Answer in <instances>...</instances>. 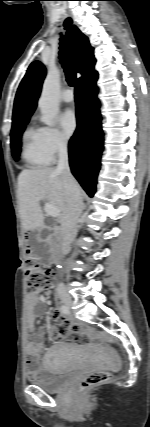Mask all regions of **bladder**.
Instances as JSON below:
<instances>
[{"label":"bladder","mask_w":150,"mask_h":427,"mask_svg":"<svg viewBox=\"0 0 150 427\" xmlns=\"http://www.w3.org/2000/svg\"><path fill=\"white\" fill-rule=\"evenodd\" d=\"M44 371V377L41 380L34 381V385L46 392L54 393L61 390L69 382L74 373V368L47 361Z\"/></svg>","instance_id":"bladder-1"}]
</instances>
